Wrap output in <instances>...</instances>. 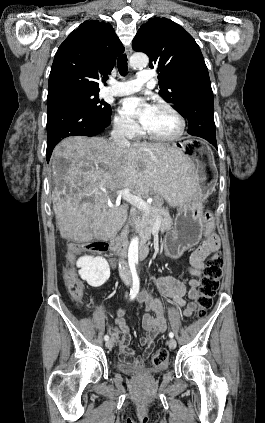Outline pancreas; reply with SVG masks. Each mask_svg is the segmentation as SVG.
Segmentation results:
<instances>
[{"mask_svg": "<svg viewBox=\"0 0 265 423\" xmlns=\"http://www.w3.org/2000/svg\"><path fill=\"white\" fill-rule=\"evenodd\" d=\"M152 205L154 210L142 213L136 223V230L140 232L143 241L151 237L152 228L157 219H160L161 231L170 229L172 225V218L168 209L163 207L162 198H156Z\"/></svg>", "mask_w": 265, "mask_h": 423, "instance_id": "obj_1", "label": "pancreas"}]
</instances>
